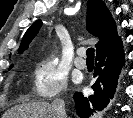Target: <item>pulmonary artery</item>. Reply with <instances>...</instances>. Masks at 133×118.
I'll return each mask as SVG.
<instances>
[{"instance_id": "1", "label": "pulmonary artery", "mask_w": 133, "mask_h": 118, "mask_svg": "<svg viewBox=\"0 0 133 118\" xmlns=\"http://www.w3.org/2000/svg\"><path fill=\"white\" fill-rule=\"evenodd\" d=\"M84 54H85V49L80 48L77 50V57L74 60V64L79 69H84L86 67V61L83 58Z\"/></svg>"}]
</instances>
